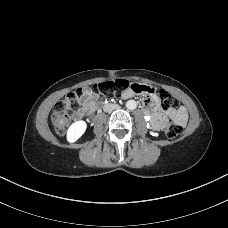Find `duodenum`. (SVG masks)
<instances>
[{
  "mask_svg": "<svg viewBox=\"0 0 228 228\" xmlns=\"http://www.w3.org/2000/svg\"><path fill=\"white\" fill-rule=\"evenodd\" d=\"M152 121H153V120H152V118H151V120H150V123H151V124H152Z\"/></svg>",
  "mask_w": 228,
  "mask_h": 228,
  "instance_id": "410a0bca",
  "label": "duodenum"
}]
</instances>
